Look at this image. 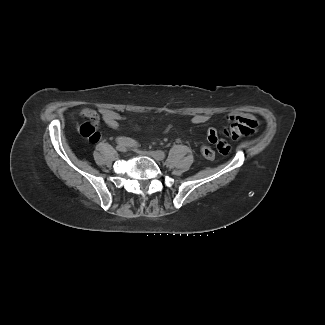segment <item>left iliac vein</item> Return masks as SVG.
Returning <instances> with one entry per match:
<instances>
[{
	"label": "left iliac vein",
	"instance_id": "left-iliac-vein-1",
	"mask_svg": "<svg viewBox=\"0 0 325 325\" xmlns=\"http://www.w3.org/2000/svg\"><path fill=\"white\" fill-rule=\"evenodd\" d=\"M136 151H138V150H136ZM138 152L142 155L152 157L156 161H160L157 151H138Z\"/></svg>",
	"mask_w": 325,
	"mask_h": 325
}]
</instances>
